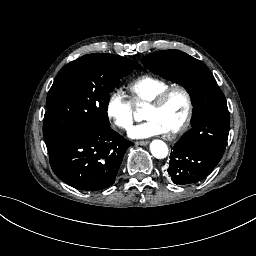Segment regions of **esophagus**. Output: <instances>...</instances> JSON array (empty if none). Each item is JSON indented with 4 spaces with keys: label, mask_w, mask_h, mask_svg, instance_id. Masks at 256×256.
I'll list each match as a JSON object with an SVG mask.
<instances>
[{
    "label": "esophagus",
    "mask_w": 256,
    "mask_h": 256,
    "mask_svg": "<svg viewBox=\"0 0 256 256\" xmlns=\"http://www.w3.org/2000/svg\"><path fill=\"white\" fill-rule=\"evenodd\" d=\"M135 144H136V145H147V144H149V141H147V140L136 141Z\"/></svg>",
    "instance_id": "esophagus-1"
}]
</instances>
